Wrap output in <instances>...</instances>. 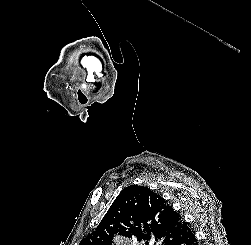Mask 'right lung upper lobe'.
Returning <instances> with one entry per match:
<instances>
[{"label":"right lung upper lobe","instance_id":"cb5924a9","mask_svg":"<svg viewBox=\"0 0 251 245\" xmlns=\"http://www.w3.org/2000/svg\"><path fill=\"white\" fill-rule=\"evenodd\" d=\"M189 228L176 210L147 187L131 185L117 196L96 230L79 245H111L114 235L137 241L151 238L161 245Z\"/></svg>","mask_w":251,"mask_h":245}]
</instances>
